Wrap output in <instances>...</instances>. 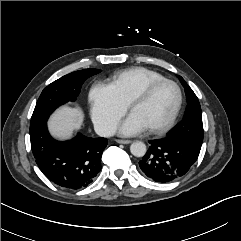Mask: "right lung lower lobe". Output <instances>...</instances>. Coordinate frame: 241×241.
<instances>
[{
    "label": "right lung lower lobe",
    "instance_id": "98d812e1",
    "mask_svg": "<svg viewBox=\"0 0 241 241\" xmlns=\"http://www.w3.org/2000/svg\"><path fill=\"white\" fill-rule=\"evenodd\" d=\"M31 149L42 173L66 189L88 186L101 169L106 138H89L78 133L69 141L54 140L47 124L30 133Z\"/></svg>",
    "mask_w": 241,
    "mask_h": 241
}]
</instances>
